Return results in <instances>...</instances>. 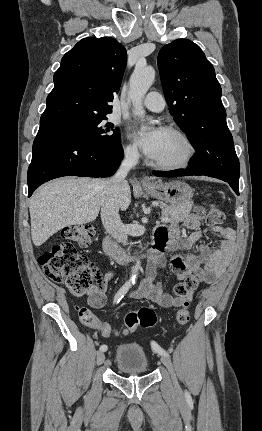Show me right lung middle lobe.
<instances>
[{
	"label": "right lung middle lobe",
	"mask_w": 262,
	"mask_h": 431,
	"mask_svg": "<svg viewBox=\"0 0 262 431\" xmlns=\"http://www.w3.org/2000/svg\"><path fill=\"white\" fill-rule=\"evenodd\" d=\"M105 115L73 119L62 123L40 127L39 130H53L68 133L96 144L106 146L115 145L121 142L118 129L113 130L114 124L101 122L105 120Z\"/></svg>",
	"instance_id": "dd1d6c3e"
}]
</instances>
